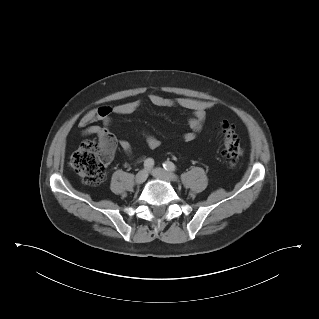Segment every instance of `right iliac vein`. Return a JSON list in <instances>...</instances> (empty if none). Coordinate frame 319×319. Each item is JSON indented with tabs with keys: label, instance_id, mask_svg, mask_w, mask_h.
Listing matches in <instances>:
<instances>
[{
	"label": "right iliac vein",
	"instance_id": "obj_1",
	"mask_svg": "<svg viewBox=\"0 0 319 319\" xmlns=\"http://www.w3.org/2000/svg\"><path fill=\"white\" fill-rule=\"evenodd\" d=\"M148 177V172L146 170H140L135 176V183L142 184Z\"/></svg>",
	"mask_w": 319,
	"mask_h": 319
}]
</instances>
